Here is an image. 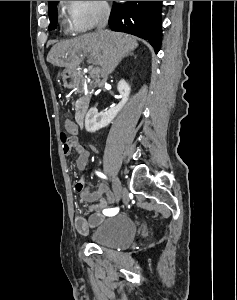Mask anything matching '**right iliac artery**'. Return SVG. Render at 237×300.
Returning <instances> with one entry per match:
<instances>
[{
	"label": "right iliac artery",
	"instance_id": "right-iliac-artery-1",
	"mask_svg": "<svg viewBox=\"0 0 237 300\" xmlns=\"http://www.w3.org/2000/svg\"><path fill=\"white\" fill-rule=\"evenodd\" d=\"M96 173H97V175H98L99 177L106 179V176H105L103 173H101V172H96ZM113 211H119V208L105 209V210L103 211V213H104V214H107L108 212H113Z\"/></svg>",
	"mask_w": 237,
	"mask_h": 300
}]
</instances>
